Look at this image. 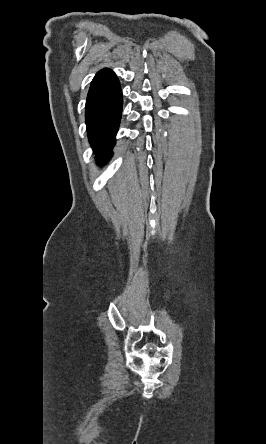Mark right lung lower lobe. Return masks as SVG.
<instances>
[{"label":"right lung lower lobe","instance_id":"right-lung-lower-lobe-1","mask_svg":"<svg viewBox=\"0 0 266 444\" xmlns=\"http://www.w3.org/2000/svg\"><path fill=\"white\" fill-rule=\"evenodd\" d=\"M122 92L116 75L100 70L91 82L86 101L88 138L101 165L112 156L122 112Z\"/></svg>","mask_w":266,"mask_h":444}]
</instances>
